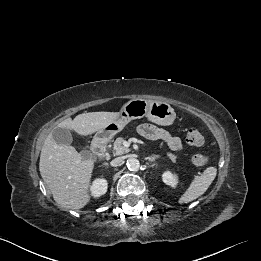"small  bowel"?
Masks as SVG:
<instances>
[{"label": "small bowel", "instance_id": "obj_1", "mask_svg": "<svg viewBox=\"0 0 261 261\" xmlns=\"http://www.w3.org/2000/svg\"><path fill=\"white\" fill-rule=\"evenodd\" d=\"M139 132L142 136L151 139H161L165 141L168 146L174 151H181L183 148L182 141L179 137L172 136L167 131L150 123L142 124L139 127Z\"/></svg>", "mask_w": 261, "mask_h": 261}]
</instances>
